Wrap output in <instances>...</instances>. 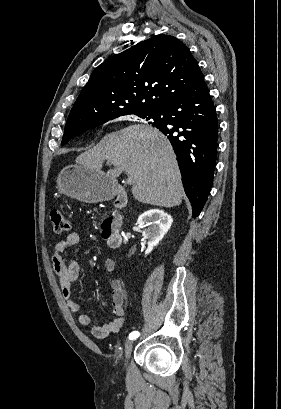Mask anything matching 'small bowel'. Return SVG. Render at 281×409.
<instances>
[{
    "instance_id": "small-bowel-1",
    "label": "small bowel",
    "mask_w": 281,
    "mask_h": 409,
    "mask_svg": "<svg viewBox=\"0 0 281 409\" xmlns=\"http://www.w3.org/2000/svg\"><path fill=\"white\" fill-rule=\"evenodd\" d=\"M80 245V236L77 233H69L55 247L52 256L53 269L59 277V283L67 305L75 312H80V305L75 301L72 294V283L78 278L79 265L76 261L66 262L64 256L72 248ZM116 268V263L112 258H107L104 262V269L112 273ZM111 303L115 318L105 325L92 324L88 314L79 313L78 322L80 325L89 327L91 334L96 338H105L110 334L117 333L125 323L124 291L120 280H112Z\"/></svg>"
}]
</instances>
